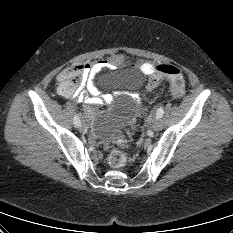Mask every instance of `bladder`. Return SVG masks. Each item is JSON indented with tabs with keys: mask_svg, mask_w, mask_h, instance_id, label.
<instances>
[{
	"mask_svg": "<svg viewBox=\"0 0 233 233\" xmlns=\"http://www.w3.org/2000/svg\"><path fill=\"white\" fill-rule=\"evenodd\" d=\"M107 81L121 87L135 88L140 85L141 77L134 70H126L111 75ZM135 114V104L131 101L123 102L96 117L92 125V130L100 137L110 136L125 128L133 120Z\"/></svg>",
	"mask_w": 233,
	"mask_h": 233,
	"instance_id": "bladder-1",
	"label": "bladder"
}]
</instances>
